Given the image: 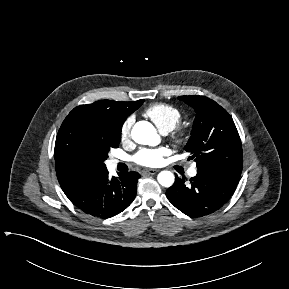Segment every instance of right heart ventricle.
Segmentation results:
<instances>
[{
	"mask_svg": "<svg viewBox=\"0 0 289 289\" xmlns=\"http://www.w3.org/2000/svg\"><path fill=\"white\" fill-rule=\"evenodd\" d=\"M143 115L149 118L163 133L171 131L182 119L181 111L166 103H154L148 106Z\"/></svg>",
	"mask_w": 289,
	"mask_h": 289,
	"instance_id": "right-heart-ventricle-1",
	"label": "right heart ventricle"
}]
</instances>
